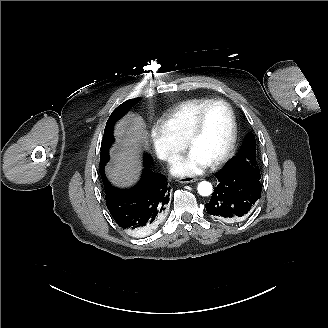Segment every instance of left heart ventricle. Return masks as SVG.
I'll return each mask as SVG.
<instances>
[{"instance_id":"left-heart-ventricle-1","label":"left heart ventricle","mask_w":328,"mask_h":328,"mask_svg":"<svg viewBox=\"0 0 328 328\" xmlns=\"http://www.w3.org/2000/svg\"><path fill=\"white\" fill-rule=\"evenodd\" d=\"M231 135L229 111L224 105H216L208 111L203 127L189 144V149L198 151L211 163L226 151Z\"/></svg>"}]
</instances>
